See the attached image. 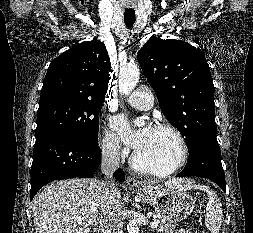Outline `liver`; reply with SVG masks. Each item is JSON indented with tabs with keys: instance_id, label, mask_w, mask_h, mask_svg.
Here are the masks:
<instances>
[{
	"instance_id": "6515ba94",
	"label": "liver",
	"mask_w": 253,
	"mask_h": 233,
	"mask_svg": "<svg viewBox=\"0 0 253 233\" xmlns=\"http://www.w3.org/2000/svg\"><path fill=\"white\" fill-rule=\"evenodd\" d=\"M181 180H170L173 186ZM101 182L70 179L46 186L32 201L36 233H89L100 209Z\"/></svg>"
}]
</instances>
